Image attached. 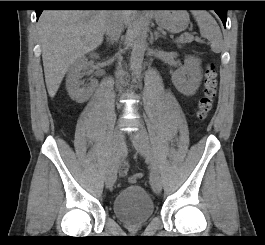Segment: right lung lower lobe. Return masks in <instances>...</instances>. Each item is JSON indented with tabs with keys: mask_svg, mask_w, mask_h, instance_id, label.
<instances>
[{
	"mask_svg": "<svg viewBox=\"0 0 265 245\" xmlns=\"http://www.w3.org/2000/svg\"><path fill=\"white\" fill-rule=\"evenodd\" d=\"M50 6H79V7H124L131 6L130 3L126 1H81L79 4H69V3H52ZM43 9L36 10L37 19L41 15Z\"/></svg>",
	"mask_w": 265,
	"mask_h": 245,
	"instance_id": "98d812e1",
	"label": "right lung lower lobe"
}]
</instances>
